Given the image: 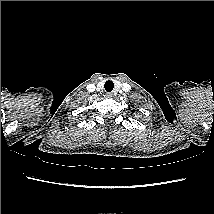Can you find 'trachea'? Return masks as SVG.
Returning <instances> with one entry per match:
<instances>
[{"instance_id":"trachea-1","label":"trachea","mask_w":214,"mask_h":214,"mask_svg":"<svg viewBox=\"0 0 214 214\" xmlns=\"http://www.w3.org/2000/svg\"><path fill=\"white\" fill-rule=\"evenodd\" d=\"M104 87L107 92H111L114 88V83L112 81L108 80V81H106Z\"/></svg>"}]
</instances>
